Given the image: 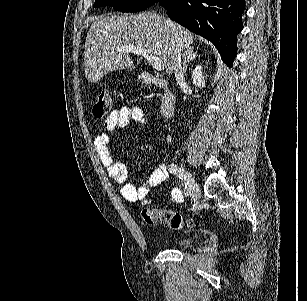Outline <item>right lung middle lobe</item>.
I'll use <instances>...</instances> for the list:
<instances>
[{"label": "right lung middle lobe", "mask_w": 307, "mask_h": 301, "mask_svg": "<svg viewBox=\"0 0 307 301\" xmlns=\"http://www.w3.org/2000/svg\"><path fill=\"white\" fill-rule=\"evenodd\" d=\"M159 0H95L93 7L113 6L120 12H140Z\"/></svg>", "instance_id": "1"}]
</instances>
